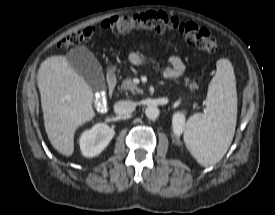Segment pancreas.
I'll use <instances>...</instances> for the list:
<instances>
[{
    "label": "pancreas",
    "instance_id": "1",
    "mask_svg": "<svg viewBox=\"0 0 275 215\" xmlns=\"http://www.w3.org/2000/svg\"><path fill=\"white\" fill-rule=\"evenodd\" d=\"M185 86L188 87L190 91H195L199 88V85L195 81L191 82L189 78L185 79ZM121 89L124 91H130L132 93L141 92V90L136 86L131 77H128L125 80H123Z\"/></svg>",
    "mask_w": 275,
    "mask_h": 215
}]
</instances>
